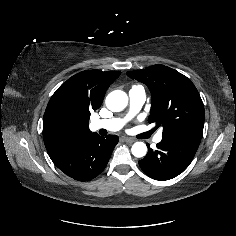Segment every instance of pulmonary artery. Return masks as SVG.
<instances>
[{"label":"pulmonary artery","instance_id":"1","mask_svg":"<svg viewBox=\"0 0 236 236\" xmlns=\"http://www.w3.org/2000/svg\"><path fill=\"white\" fill-rule=\"evenodd\" d=\"M147 98L146 91L141 86H134L129 91V100H130V113L129 115H133L140 110L143 106ZM123 125V120L119 118L112 119H97L91 123V127L93 130L104 129L107 131H118L121 129ZM162 140V133H158L154 142L158 143Z\"/></svg>","mask_w":236,"mask_h":236}]
</instances>
